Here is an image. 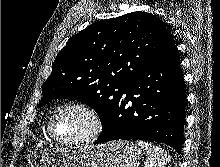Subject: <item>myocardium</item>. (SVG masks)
Returning a JSON list of instances; mask_svg holds the SVG:
<instances>
[{
    "label": "myocardium",
    "mask_w": 220,
    "mask_h": 167,
    "mask_svg": "<svg viewBox=\"0 0 220 167\" xmlns=\"http://www.w3.org/2000/svg\"><path fill=\"white\" fill-rule=\"evenodd\" d=\"M71 109L80 110L81 112L85 113L89 118L90 128L87 131V133H85L81 137L74 139H67V140L60 139L55 135L54 132L55 121L60 114ZM103 128H104L103 119L96 109L83 102H69L58 108L55 111V113L52 115L48 124V133L50 137L60 145L78 146V145H85L95 141L101 135Z\"/></svg>",
    "instance_id": "obj_1"
}]
</instances>
